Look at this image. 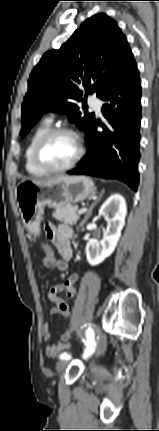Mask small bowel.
I'll use <instances>...</instances> for the list:
<instances>
[{
  "mask_svg": "<svg viewBox=\"0 0 159 431\" xmlns=\"http://www.w3.org/2000/svg\"><path fill=\"white\" fill-rule=\"evenodd\" d=\"M46 235L54 245L57 253L60 258L53 255L52 260H47L44 254L42 258V265L47 268H54L59 272H64L68 268V261L71 258L72 251L69 243V238L72 237L73 231L71 227L68 225H59L54 226L52 224H48L45 228ZM78 281V275L73 273L68 276V278L60 284L52 285L48 289V299L53 303V306L50 308V314H61L63 316L64 310H69V303L60 296V294L64 293L67 297L73 298L76 295V283ZM43 330V339L48 341L51 338V334L49 331V324L44 323L42 326ZM71 334L65 332L62 334L60 340L52 345H48L45 348V353L49 357H56L61 352L70 348L71 343Z\"/></svg>",
  "mask_w": 159,
  "mask_h": 431,
  "instance_id": "small-bowel-1",
  "label": "small bowel"
}]
</instances>
